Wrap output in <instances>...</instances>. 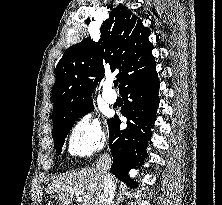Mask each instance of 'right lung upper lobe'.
Instances as JSON below:
<instances>
[{"label":"right lung upper lobe","instance_id":"cb5924a9","mask_svg":"<svg viewBox=\"0 0 222 205\" xmlns=\"http://www.w3.org/2000/svg\"><path fill=\"white\" fill-rule=\"evenodd\" d=\"M101 38H91L69 47L56 66L52 89L53 122L72 116L92 105L94 86L104 76L105 67L117 71L119 88L156 66L149 41L150 29L125 6L113 8L100 28Z\"/></svg>","mask_w":222,"mask_h":205}]
</instances>
